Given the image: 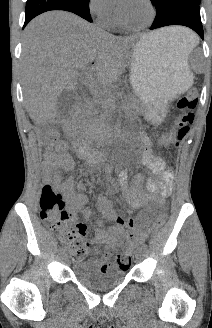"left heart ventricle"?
<instances>
[{"mask_svg":"<svg viewBox=\"0 0 212 328\" xmlns=\"http://www.w3.org/2000/svg\"><path fill=\"white\" fill-rule=\"evenodd\" d=\"M121 14L125 21L134 25L143 24L150 17L149 8L143 0H131L130 3L121 10Z\"/></svg>","mask_w":212,"mask_h":328,"instance_id":"left-heart-ventricle-1","label":"left heart ventricle"}]
</instances>
